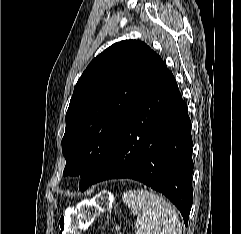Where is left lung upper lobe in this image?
<instances>
[{
	"label": "left lung upper lobe",
	"mask_w": 241,
	"mask_h": 234,
	"mask_svg": "<svg viewBox=\"0 0 241 234\" xmlns=\"http://www.w3.org/2000/svg\"><path fill=\"white\" fill-rule=\"evenodd\" d=\"M162 59L144 42L111 45L88 65L66 112L64 175H80L85 190L102 166L129 110Z\"/></svg>",
	"instance_id": "1"
}]
</instances>
